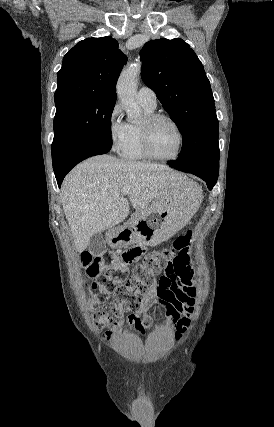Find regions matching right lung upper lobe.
<instances>
[{
    "mask_svg": "<svg viewBox=\"0 0 274 427\" xmlns=\"http://www.w3.org/2000/svg\"><path fill=\"white\" fill-rule=\"evenodd\" d=\"M126 62V55L110 36L80 41L63 58L55 105L91 96L117 97L116 81Z\"/></svg>",
    "mask_w": 274,
    "mask_h": 427,
    "instance_id": "obj_1",
    "label": "right lung upper lobe"
}]
</instances>
